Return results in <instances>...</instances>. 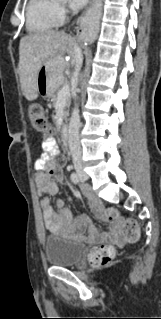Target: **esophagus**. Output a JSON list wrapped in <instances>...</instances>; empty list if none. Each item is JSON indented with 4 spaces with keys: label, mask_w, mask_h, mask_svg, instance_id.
<instances>
[{
    "label": "esophagus",
    "mask_w": 161,
    "mask_h": 319,
    "mask_svg": "<svg viewBox=\"0 0 161 319\" xmlns=\"http://www.w3.org/2000/svg\"><path fill=\"white\" fill-rule=\"evenodd\" d=\"M82 28L79 26L78 28H77V37L79 38V39H82Z\"/></svg>",
    "instance_id": "esophagus-1"
}]
</instances>
